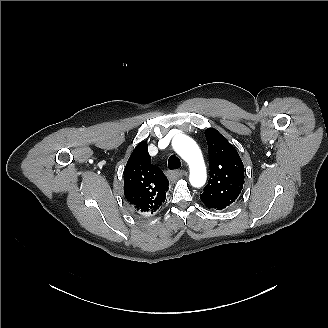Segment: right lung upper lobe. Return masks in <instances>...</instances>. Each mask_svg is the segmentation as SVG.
I'll use <instances>...</instances> for the list:
<instances>
[{
	"instance_id": "cb5924a9",
	"label": "right lung upper lobe",
	"mask_w": 328,
	"mask_h": 328,
	"mask_svg": "<svg viewBox=\"0 0 328 328\" xmlns=\"http://www.w3.org/2000/svg\"><path fill=\"white\" fill-rule=\"evenodd\" d=\"M169 182L162 170L151 164L146 142L133 150L124 169V193L139 216H150L162 208Z\"/></svg>"
}]
</instances>
